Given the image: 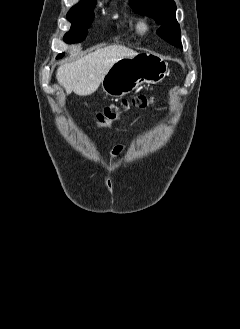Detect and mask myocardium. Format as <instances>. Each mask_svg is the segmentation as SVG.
Returning a JSON list of instances; mask_svg holds the SVG:
<instances>
[{
	"instance_id": "myocardium-1",
	"label": "myocardium",
	"mask_w": 240,
	"mask_h": 329,
	"mask_svg": "<svg viewBox=\"0 0 240 329\" xmlns=\"http://www.w3.org/2000/svg\"><path fill=\"white\" fill-rule=\"evenodd\" d=\"M150 27V24L147 20H142L139 22V29L142 32H146Z\"/></svg>"
}]
</instances>
